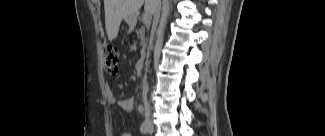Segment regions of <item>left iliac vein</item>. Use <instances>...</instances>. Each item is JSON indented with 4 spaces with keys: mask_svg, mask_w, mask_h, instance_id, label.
I'll return each instance as SVG.
<instances>
[{
    "mask_svg": "<svg viewBox=\"0 0 325 136\" xmlns=\"http://www.w3.org/2000/svg\"><path fill=\"white\" fill-rule=\"evenodd\" d=\"M148 131L151 133L153 131V124L151 121H148Z\"/></svg>",
    "mask_w": 325,
    "mask_h": 136,
    "instance_id": "4c4485c4",
    "label": "left iliac vein"
}]
</instances>
